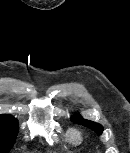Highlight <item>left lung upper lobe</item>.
Here are the masks:
<instances>
[{"label":"left lung upper lobe","mask_w":130,"mask_h":153,"mask_svg":"<svg viewBox=\"0 0 130 153\" xmlns=\"http://www.w3.org/2000/svg\"><path fill=\"white\" fill-rule=\"evenodd\" d=\"M71 120L73 122H76L80 125H83V126H86V127H89L90 129H92L93 131H95L97 134H101L103 132V127L96 123V122H93V121H90V120H86V119H83L80 115H73L71 117Z\"/></svg>","instance_id":"5c2ea615"}]
</instances>
